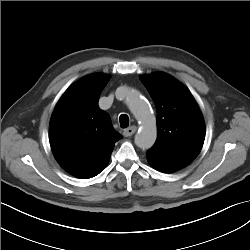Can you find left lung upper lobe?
<instances>
[{"instance_id": "1", "label": "left lung upper lobe", "mask_w": 250, "mask_h": 250, "mask_svg": "<svg viewBox=\"0 0 250 250\" xmlns=\"http://www.w3.org/2000/svg\"><path fill=\"white\" fill-rule=\"evenodd\" d=\"M157 109V140L149 151L195 159L205 138L201 111L190 91L165 73L143 75Z\"/></svg>"}]
</instances>
